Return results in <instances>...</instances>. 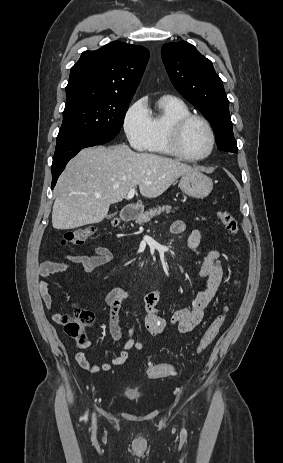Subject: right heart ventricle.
Masks as SVG:
<instances>
[{
	"label": "right heart ventricle",
	"mask_w": 283,
	"mask_h": 463,
	"mask_svg": "<svg viewBox=\"0 0 283 463\" xmlns=\"http://www.w3.org/2000/svg\"><path fill=\"white\" fill-rule=\"evenodd\" d=\"M190 114L188 106L173 96H164L159 99L157 109L149 112L150 135L145 150L162 155H171L167 136L170 126L179 118Z\"/></svg>",
	"instance_id": "right-heart-ventricle-1"
}]
</instances>
